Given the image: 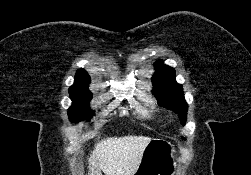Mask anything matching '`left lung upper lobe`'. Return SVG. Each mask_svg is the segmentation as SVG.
Here are the masks:
<instances>
[{"mask_svg":"<svg viewBox=\"0 0 251 175\" xmlns=\"http://www.w3.org/2000/svg\"><path fill=\"white\" fill-rule=\"evenodd\" d=\"M155 73L152 76L154 89L152 93L161 106L173 110L179 115L181 123L186 121L188 105L185 101L182 86L175 80V70L163 64V61L155 63Z\"/></svg>","mask_w":251,"mask_h":175,"instance_id":"left-lung-upper-lobe-1","label":"left lung upper lobe"}]
</instances>
